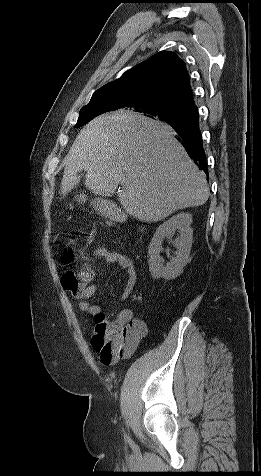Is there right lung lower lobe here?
Masks as SVG:
<instances>
[{
  "mask_svg": "<svg viewBox=\"0 0 261 476\" xmlns=\"http://www.w3.org/2000/svg\"><path fill=\"white\" fill-rule=\"evenodd\" d=\"M177 133L179 141L192 160L208 174L203 140L199 129V113L197 107L185 111L179 120L168 123Z\"/></svg>",
  "mask_w": 261,
  "mask_h": 476,
  "instance_id": "98d812e1",
  "label": "right lung lower lobe"
}]
</instances>
